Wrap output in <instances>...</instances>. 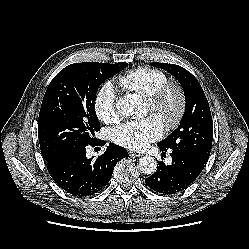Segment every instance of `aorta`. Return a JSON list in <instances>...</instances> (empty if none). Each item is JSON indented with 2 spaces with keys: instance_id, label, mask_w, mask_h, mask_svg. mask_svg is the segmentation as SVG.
<instances>
[{
  "instance_id": "762f6f07",
  "label": "aorta",
  "mask_w": 249,
  "mask_h": 249,
  "mask_svg": "<svg viewBox=\"0 0 249 249\" xmlns=\"http://www.w3.org/2000/svg\"><path fill=\"white\" fill-rule=\"evenodd\" d=\"M118 112L126 117L138 116L142 110V100L136 94H127L116 104ZM138 167L146 175H152L157 170V161L152 156H143L139 159Z\"/></svg>"
}]
</instances>
